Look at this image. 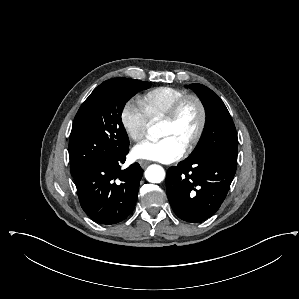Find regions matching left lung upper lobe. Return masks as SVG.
<instances>
[{
  "instance_id": "obj_1",
  "label": "left lung upper lobe",
  "mask_w": 299,
  "mask_h": 299,
  "mask_svg": "<svg viewBox=\"0 0 299 299\" xmlns=\"http://www.w3.org/2000/svg\"><path fill=\"white\" fill-rule=\"evenodd\" d=\"M202 101L207 118L203 139L187 160L218 155L237 161L238 138L233 120L225 104L208 87L201 84L188 86Z\"/></svg>"
}]
</instances>
